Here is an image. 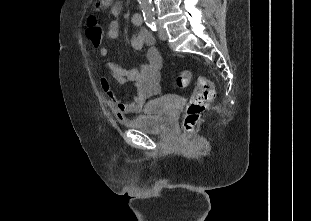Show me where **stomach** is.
I'll list each match as a JSON object with an SVG mask.
<instances>
[{
	"mask_svg": "<svg viewBox=\"0 0 311 221\" xmlns=\"http://www.w3.org/2000/svg\"><path fill=\"white\" fill-rule=\"evenodd\" d=\"M107 2L108 0H95L97 10H99V8H103V6H106Z\"/></svg>",
	"mask_w": 311,
	"mask_h": 221,
	"instance_id": "1",
	"label": "stomach"
}]
</instances>
